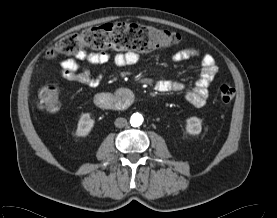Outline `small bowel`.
Masks as SVG:
<instances>
[{"label":"small bowel","mask_w":277,"mask_h":218,"mask_svg":"<svg viewBox=\"0 0 277 218\" xmlns=\"http://www.w3.org/2000/svg\"><path fill=\"white\" fill-rule=\"evenodd\" d=\"M197 49L189 48L176 52L173 55L174 62H181L190 58L200 57ZM139 60V56L134 52L117 53L113 57L107 52H87L85 50L74 55L72 58L63 59L59 64L60 75L69 81L80 83L89 88H97L101 85L106 70H102L98 74H92L90 70L82 63L86 62L90 65H105L112 61L117 68H124L135 65ZM218 74V67L211 55L201 56V72L196 80L194 87L186 91V100L196 107H202L206 104L208 98L209 84ZM156 91L161 93L181 92L186 86L179 81L157 80L154 83ZM121 93L128 92L121 89Z\"/></svg>","instance_id":"obj_1"}]
</instances>
